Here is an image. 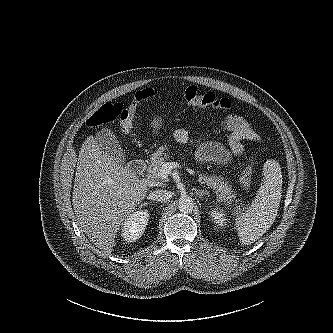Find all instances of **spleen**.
<instances>
[{
	"mask_svg": "<svg viewBox=\"0 0 333 333\" xmlns=\"http://www.w3.org/2000/svg\"><path fill=\"white\" fill-rule=\"evenodd\" d=\"M263 183L245 212L237 215L235 227L242 245H251L274 223L282 196V172L278 161L269 159L263 166Z\"/></svg>",
	"mask_w": 333,
	"mask_h": 333,
	"instance_id": "1",
	"label": "spleen"
}]
</instances>
